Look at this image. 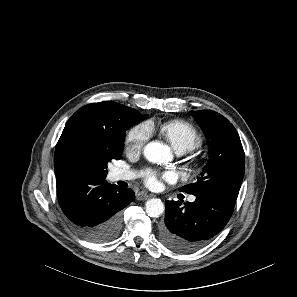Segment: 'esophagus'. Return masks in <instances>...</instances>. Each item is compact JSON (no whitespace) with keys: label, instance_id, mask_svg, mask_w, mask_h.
I'll return each mask as SVG.
<instances>
[{"label":"esophagus","instance_id":"1","mask_svg":"<svg viewBox=\"0 0 297 297\" xmlns=\"http://www.w3.org/2000/svg\"><path fill=\"white\" fill-rule=\"evenodd\" d=\"M150 198V195L143 193V192H139L136 194V199L139 201H144Z\"/></svg>","mask_w":297,"mask_h":297}]
</instances>
